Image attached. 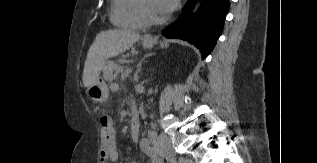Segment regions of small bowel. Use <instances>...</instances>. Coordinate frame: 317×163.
Masks as SVG:
<instances>
[{
    "label": "small bowel",
    "mask_w": 317,
    "mask_h": 163,
    "mask_svg": "<svg viewBox=\"0 0 317 163\" xmlns=\"http://www.w3.org/2000/svg\"><path fill=\"white\" fill-rule=\"evenodd\" d=\"M101 124V149L99 157L102 163H115L118 160V147L113 122L110 118L102 117ZM140 149L149 157L150 163H163L158 153L151 147L148 140L139 142ZM132 163H140L135 159Z\"/></svg>",
    "instance_id": "small-bowel-1"
}]
</instances>
